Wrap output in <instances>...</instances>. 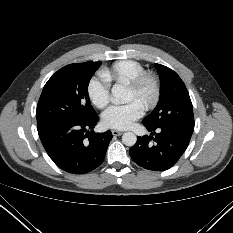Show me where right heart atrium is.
Listing matches in <instances>:
<instances>
[{
    "mask_svg": "<svg viewBox=\"0 0 233 233\" xmlns=\"http://www.w3.org/2000/svg\"><path fill=\"white\" fill-rule=\"evenodd\" d=\"M87 95L91 103L99 109H105L111 102L110 82L101 74L90 79Z\"/></svg>",
    "mask_w": 233,
    "mask_h": 233,
    "instance_id": "obj_1",
    "label": "right heart atrium"
}]
</instances>
